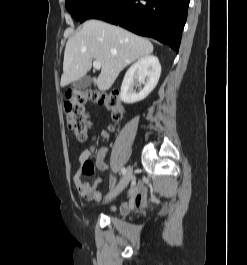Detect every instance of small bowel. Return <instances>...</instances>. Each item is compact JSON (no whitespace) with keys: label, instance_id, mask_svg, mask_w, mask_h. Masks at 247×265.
Wrapping results in <instances>:
<instances>
[{"label":"small bowel","instance_id":"c3829d8e","mask_svg":"<svg viewBox=\"0 0 247 265\" xmlns=\"http://www.w3.org/2000/svg\"><path fill=\"white\" fill-rule=\"evenodd\" d=\"M91 151L85 149L79 156V163L81 168L75 173L73 183L79 195L88 201H100L102 195L100 188L102 186V179L97 178L93 184H89L83 180V175L87 174L84 167L89 163ZM106 150L100 149L95 156V166L100 171H109V166L105 161ZM117 185V179L114 175L110 176L109 187L114 189ZM147 204V197L145 194L139 192L138 187L132 186L126 200L119 208L111 207L112 211H118L121 214H128L134 209L142 208Z\"/></svg>","mask_w":247,"mask_h":265}]
</instances>
